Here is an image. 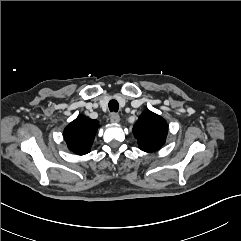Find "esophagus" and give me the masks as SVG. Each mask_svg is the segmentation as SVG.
Wrapping results in <instances>:
<instances>
[{"mask_svg":"<svg viewBox=\"0 0 241 241\" xmlns=\"http://www.w3.org/2000/svg\"><path fill=\"white\" fill-rule=\"evenodd\" d=\"M110 121H111V123H113V124L119 123V121H120L119 115L116 114V113H113V114L111 115Z\"/></svg>","mask_w":241,"mask_h":241,"instance_id":"34e87169","label":"esophagus"}]
</instances>
